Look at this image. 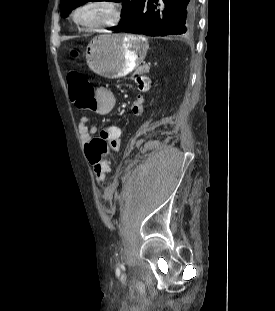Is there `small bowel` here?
I'll use <instances>...</instances> for the list:
<instances>
[{
	"label": "small bowel",
	"mask_w": 275,
	"mask_h": 311,
	"mask_svg": "<svg viewBox=\"0 0 275 311\" xmlns=\"http://www.w3.org/2000/svg\"><path fill=\"white\" fill-rule=\"evenodd\" d=\"M155 86L154 80H139L137 86V93H152V87ZM115 106V99L113 94L106 88H99L96 91L94 100L90 105H84V112H94L96 114L104 115L110 113ZM143 99L141 94H138L132 104V112L134 114H141L143 112ZM78 131L81 140L86 143L91 137L99 131L98 126L91 121L87 116L81 118L78 126ZM101 136L106 138L111 147L115 150L120 148L121 130L117 125H107L100 130Z\"/></svg>",
	"instance_id": "small-bowel-1"
}]
</instances>
